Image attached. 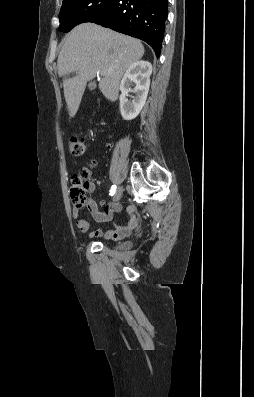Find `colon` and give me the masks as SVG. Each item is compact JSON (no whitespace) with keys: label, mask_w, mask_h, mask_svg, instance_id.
<instances>
[{"label":"colon","mask_w":254,"mask_h":397,"mask_svg":"<svg viewBox=\"0 0 254 397\" xmlns=\"http://www.w3.org/2000/svg\"><path fill=\"white\" fill-rule=\"evenodd\" d=\"M69 150L74 156H81L85 152V144L77 136H71L69 139ZM90 171L83 168L79 174L72 179L71 198L74 205L78 208L88 206L90 198L88 196Z\"/></svg>","instance_id":"colon-1"}]
</instances>
